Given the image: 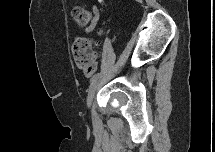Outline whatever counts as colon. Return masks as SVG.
<instances>
[{"mask_svg":"<svg viewBox=\"0 0 215 152\" xmlns=\"http://www.w3.org/2000/svg\"><path fill=\"white\" fill-rule=\"evenodd\" d=\"M72 16L76 24L85 27L89 24L90 14L82 7L75 6ZM72 56L75 64L86 76H91L95 70L93 42L84 37H77L71 45Z\"/></svg>","mask_w":215,"mask_h":152,"instance_id":"obj_1","label":"colon"}]
</instances>
